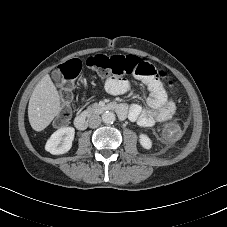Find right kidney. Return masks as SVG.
Segmentation results:
<instances>
[{"label":"right kidney","instance_id":"right-kidney-1","mask_svg":"<svg viewBox=\"0 0 227 227\" xmlns=\"http://www.w3.org/2000/svg\"><path fill=\"white\" fill-rule=\"evenodd\" d=\"M75 129L73 127H64L55 131L48 139L45 150L53 155H60L68 152L72 147Z\"/></svg>","mask_w":227,"mask_h":227}]
</instances>
